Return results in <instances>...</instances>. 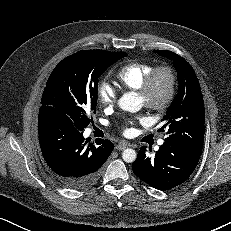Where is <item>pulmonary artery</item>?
Listing matches in <instances>:
<instances>
[{
	"instance_id": "e3ab8cb5",
	"label": "pulmonary artery",
	"mask_w": 231,
	"mask_h": 231,
	"mask_svg": "<svg viewBox=\"0 0 231 231\" xmlns=\"http://www.w3.org/2000/svg\"><path fill=\"white\" fill-rule=\"evenodd\" d=\"M163 142H164L163 140H160V141H159V145H162V144H163Z\"/></svg>"
}]
</instances>
